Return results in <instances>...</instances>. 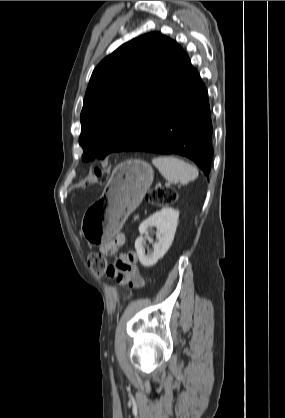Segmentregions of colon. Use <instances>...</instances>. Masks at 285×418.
I'll list each match as a JSON object with an SVG mask.
<instances>
[{
    "instance_id": "obj_1",
    "label": "colon",
    "mask_w": 285,
    "mask_h": 418,
    "mask_svg": "<svg viewBox=\"0 0 285 418\" xmlns=\"http://www.w3.org/2000/svg\"><path fill=\"white\" fill-rule=\"evenodd\" d=\"M94 177L100 184H104L107 181L106 174L101 169L95 170ZM146 198L151 204L161 206L176 202L177 194L172 189L158 186L151 189L147 193ZM88 263L91 269L98 275H104L108 271L107 255L104 252H96L89 255Z\"/></svg>"
}]
</instances>
